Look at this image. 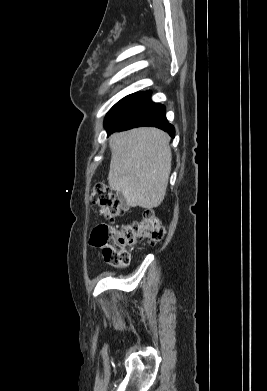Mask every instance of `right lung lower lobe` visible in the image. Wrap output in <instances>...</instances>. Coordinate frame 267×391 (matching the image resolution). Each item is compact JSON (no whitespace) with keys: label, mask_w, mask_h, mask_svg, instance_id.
Wrapping results in <instances>:
<instances>
[{"label":"right lung lower lobe","mask_w":267,"mask_h":391,"mask_svg":"<svg viewBox=\"0 0 267 391\" xmlns=\"http://www.w3.org/2000/svg\"><path fill=\"white\" fill-rule=\"evenodd\" d=\"M140 126H152L175 135L174 127L167 121L165 106L151 101L149 92H140L104 123L108 135Z\"/></svg>","instance_id":"right-lung-lower-lobe-1"}]
</instances>
